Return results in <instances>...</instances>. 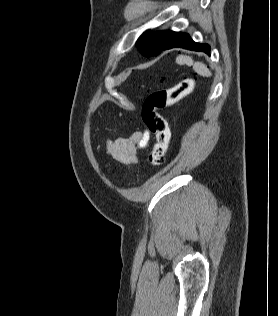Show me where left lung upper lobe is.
Returning a JSON list of instances; mask_svg holds the SVG:
<instances>
[{
    "label": "left lung upper lobe",
    "instance_id": "1",
    "mask_svg": "<svg viewBox=\"0 0 278 316\" xmlns=\"http://www.w3.org/2000/svg\"><path fill=\"white\" fill-rule=\"evenodd\" d=\"M176 33L174 31H157L152 33L146 31L139 37L136 46L144 56H155L165 49Z\"/></svg>",
    "mask_w": 278,
    "mask_h": 316
}]
</instances>
